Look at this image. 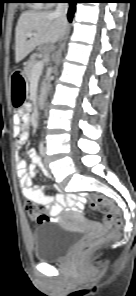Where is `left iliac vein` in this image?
<instances>
[{
  "label": "left iliac vein",
  "instance_id": "4c4485c4",
  "mask_svg": "<svg viewBox=\"0 0 136 296\" xmlns=\"http://www.w3.org/2000/svg\"><path fill=\"white\" fill-rule=\"evenodd\" d=\"M44 164H45V167L48 168V161H47V158L46 157L44 159Z\"/></svg>",
  "mask_w": 136,
  "mask_h": 296
}]
</instances>
